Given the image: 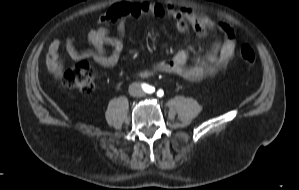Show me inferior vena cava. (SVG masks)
<instances>
[{
	"label": "inferior vena cava",
	"mask_w": 299,
	"mask_h": 190,
	"mask_svg": "<svg viewBox=\"0 0 299 190\" xmlns=\"http://www.w3.org/2000/svg\"><path fill=\"white\" fill-rule=\"evenodd\" d=\"M132 88L131 94L133 96H144L145 93L138 84H133Z\"/></svg>",
	"instance_id": "inferior-vena-cava-1"
}]
</instances>
